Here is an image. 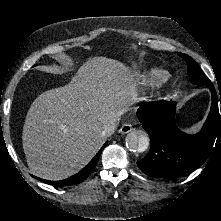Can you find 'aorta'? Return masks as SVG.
Listing matches in <instances>:
<instances>
[{
	"instance_id": "obj_1",
	"label": "aorta",
	"mask_w": 221,
	"mask_h": 221,
	"mask_svg": "<svg viewBox=\"0 0 221 221\" xmlns=\"http://www.w3.org/2000/svg\"><path fill=\"white\" fill-rule=\"evenodd\" d=\"M126 146L133 152H144L149 147L150 138L145 131L135 130L127 134Z\"/></svg>"
}]
</instances>
